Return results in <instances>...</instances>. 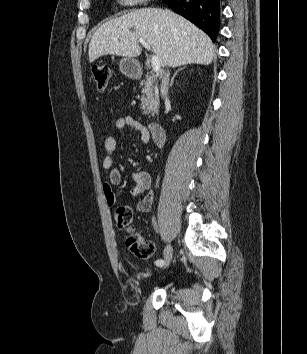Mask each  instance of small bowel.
Returning <instances> with one entry per match:
<instances>
[{"label":"small bowel","mask_w":307,"mask_h":354,"mask_svg":"<svg viewBox=\"0 0 307 354\" xmlns=\"http://www.w3.org/2000/svg\"><path fill=\"white\" fill-rule=\"evenodd\" d=\"M115 130H123L131 128L139 133L140 141L147 142L150 137L148 128L134 119L131 116L120 117L115 121ZM117 148V139L113 134L108 135L104 140L105 156L103 158L102 166L104 169L109 170V180L103 184V193L106 203L113 206L116 203V197L113 187L121 182V174L119 170L114 167L113 154ZM130 181L133 186L131 194L135 197L149 191V193L137 203V209L142 212L150 210L153 203V193L151 191L152 179L147 171H135L130 174Z\"/></svg>","instance_id":"obj_1"}]
</instances>
